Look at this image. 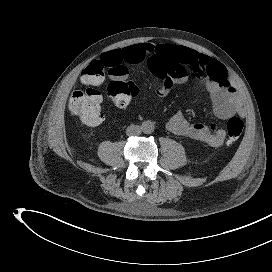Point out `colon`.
Returning <instances> with one entry per match:
<instances>
[{"mask_svg":"<svg viewBox=\"0 0 272 272\" xmlns=\"http://www.w3.org/2000/svg\"><path fill=\"white\" fill-rule=\"evenodd\" d=\"M106 70L112 77L107 86V94L116 107H126L138 94L137 86L126 79V69L120 66L108 68L98 60L92 61L81 73V82L86 88L73 92L69 101L70 112L86 125H98L103 120L101 94L97 87L102 84ZM243 128L241 118L232 117L228 120V144L238 140Z\"/></svg>","mask_w":272,"mask_h":272,"instance_id":"obj_1","label":"colon"}]
</instances>
